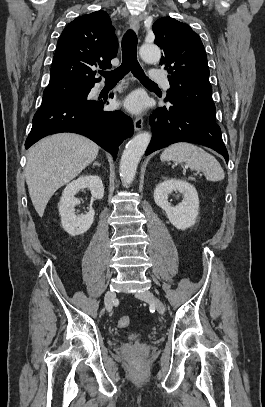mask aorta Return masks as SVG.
Here are the masks:
<instances>
[{
  "mask_svg": "<svg viewBox=\"0 0 265 407\" xmlns=\"http://www.w3.org/2000/svg\"><path fill=\"white\" fill-rule=\"evenodd\" d=\"M140 56L145 62H158L161 58V51L156 45L143 44L140 47ZM150 140L151 134L143 132L137 134L126 144L120 161V176L125 187H128L134 180L138 163Z\"/></svg>",
  "mask_w": 265,
  "mask_h": 407,
  "instance_id": "obj_1",
  "label": "aorta"
}]
</instances>
